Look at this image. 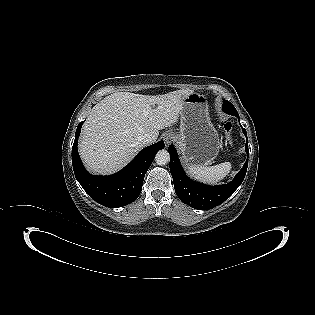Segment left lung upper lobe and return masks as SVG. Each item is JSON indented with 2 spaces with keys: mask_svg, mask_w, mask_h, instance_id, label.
<instances>
[{
  "mask_svg": "<svg viewBox=\"0 0 315 315\" xmlns=\"http://www.w3.org/2000/svg\"><path fill=\"white\" fill-rule=\"evenodd\" d=\"M223 111L230 114V115H233V116H237L238 113H237V110L235 109V107L233 106L232 103H230L229 101L227 100H224L223 101V107H222Z\"/></svg>",
  "mask_w": 315,
  "mask_h": 315,
  "instance_id": "5c2ea615",
  "label": "left lung upper lobe"
}]
</instances>
